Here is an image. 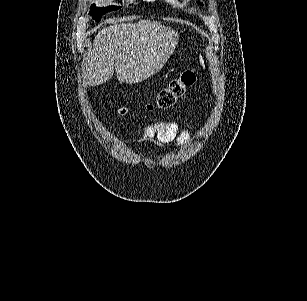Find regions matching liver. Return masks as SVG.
<instances>
[{
  "label": "liver",
  "instance_id": "1",
  "mask_svg": "<svg viewBox=\"0 0 307 301\" xmlns=\"http://www.w3.org/2000/svg\"><path fill=\"white\" fill-rule=\"evenodd\" d=\"M101 28L84 60V78L98 86L117 74L120 82H142L163 68L179 34L157 20L119 22Z\"/></svg>",
  "mask_w": 307,
  "mask_h": 301
}]
</instances>
